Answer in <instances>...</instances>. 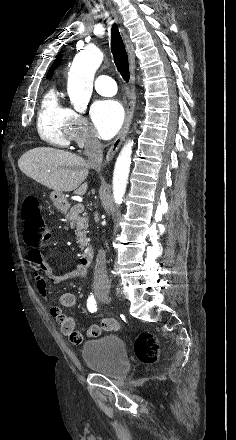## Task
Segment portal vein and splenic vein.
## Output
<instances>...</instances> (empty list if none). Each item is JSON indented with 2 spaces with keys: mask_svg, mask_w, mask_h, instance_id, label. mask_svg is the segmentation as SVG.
<instances>
[{
  "mask_svg": "<svg viewBox=\"0 0 236 440\" xmlns=\"http://www.w3.org/2000/svg\"><path fill=\"white\" fill-rule=\"evenodd\" d=\"M76 207L79 212H82L84 210V206L82 204H77Z\"/></svg>",
  "mask_w": 236,
  "mask_h": 440,
  "instance_id": "portal-vein-and-splenic-vein-1",
  "label": "portal vein and splenic vein"
}]
</instances>
